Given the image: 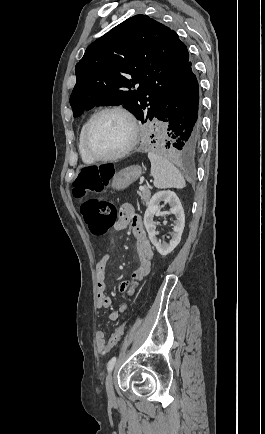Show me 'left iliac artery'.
Masks as SVG:
<instances>
[{"instance_id":"44dca946","label":"left iliac artery","mask_w":265,"mask_h":434,"mask_svg":"<svg viewBox=\"0 0 265 434\" xmlns=\"http://www.w3.org/2000/svg\"><path fill=\"white\" fill-rule=\"evenodd\" d=\"M117 358L114 356L112 357L109 362L107 363V370L108 372H111L116 364Z\"/></svg>"}]
</instances>
